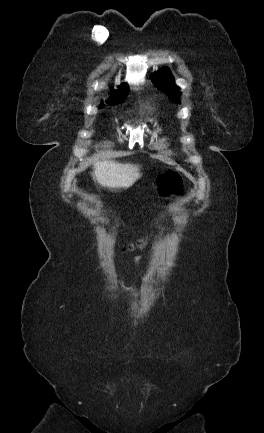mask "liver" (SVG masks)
<instances>
[{"label":"liver","instance_id":"obj_1","mask_svg":"<svg viewBox=\"0 0 264 433\" xmlns=\"http://www.w3.org/2000/svg\"><path fill=\"white\" fill-rule=\"evenodd\" d=\"M92 175L102 187L120 189L132 186L141 174L137 165L104 160L94 162Z\"/></svg>","mask_w":264,"mask_h":433}]
</instances>
